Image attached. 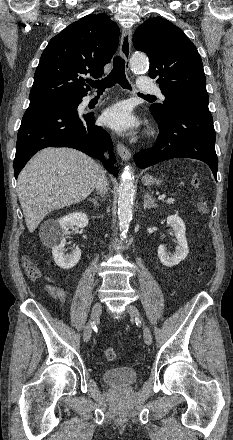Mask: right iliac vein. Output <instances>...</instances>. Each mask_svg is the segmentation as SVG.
I'll return each mask as SVG.
<instances>
[{"mask_svg": "<svg viewBox=\"0 0 233 440\" xmlns=\"http://www.w3.org/2000/svg\"><path fill=\"white\" fill-rule=\"evenodd\" d=\"M101 312H102V305L100 302H96L92 307L90 321L84 328V332H83L84 342H88L90 340L91 333H92V324L94 321H96L98 319Z\"/></svg>", "mask_w": 233, "mask_h": 440, "instance_id": "obj_1", "label": "right iliac vein"}]
</instances>
